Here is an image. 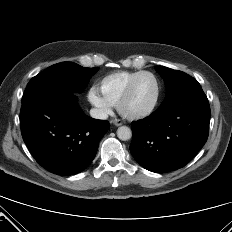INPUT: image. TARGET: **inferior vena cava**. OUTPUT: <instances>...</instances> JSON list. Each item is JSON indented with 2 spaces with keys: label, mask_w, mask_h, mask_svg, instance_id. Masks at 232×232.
I'll use <instances>...</instances> for the list:
<instances>
[{
  "label": "inferior vena cava",
  "mask_w": 232,
  "mask_h": 232,
  "mask_svg": "<svg viewBox=\"0 0 232 232\" xmlns=\"http://www.w3.org/2000/svg\"><path fill=\"white\" fill-rule=\"evenodd\" d=\"M90 115L92 118H95V119L105 120L108 118V114L105 111L101 109H97V108H92L90 110Z\"/></svg>",
  "instance_id": "obj_1"
}]
</instances>
